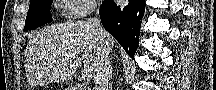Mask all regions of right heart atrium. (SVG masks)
<instances>
[{"instance_id":"d8ad5b80","label":"right heart atrium","mask_w":216,"mask_h":90,"mask_svg":"<svg viewBox=\"0 0 216 90\" xmlns=\"http://www.w3.org/2000/svg\"><path fill=\"white\" fill-rule=\"evenodd\" d=\"M64 6H70L68 11L63 12V16L69 20H78L86 12H92V6H97L95 0H63Z\"/></svg>"}]
</instances>
